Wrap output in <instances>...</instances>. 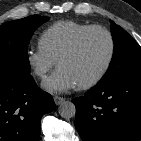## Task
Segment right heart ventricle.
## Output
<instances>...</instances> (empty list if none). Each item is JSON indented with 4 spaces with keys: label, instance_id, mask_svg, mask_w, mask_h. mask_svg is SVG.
<instances>
[{
    "label": "right heart ventricle",
    "instance_id": "right-heart-ventricle-1",
    "mask_svg": "<svg viewBox=\"0 0 141 141\" xmlns=\"http://www.w3.org/2000/svg\"><path fill=\"white\" fill-rule=\"evenodd\" d=\"M91 26L93 25L79 23L72 20L59 21L49 26L41 34L39 45L57 61L74 38Z\"/></svg>",
    "mask_w": 141,
    "mask_h": 141
}]
</instances>
